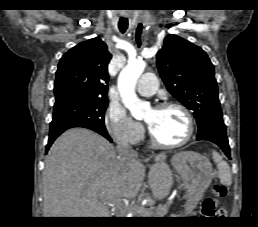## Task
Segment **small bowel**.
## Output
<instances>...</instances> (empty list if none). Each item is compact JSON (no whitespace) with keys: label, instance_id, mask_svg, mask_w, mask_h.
I'll use <instances>...</instances> for the list:
<instances>
[{"label":"small bowel","instance_id":"c3829d8e","mask_svg":"<svg viewBox=\"0 0 258 227\" xmlns=\"http://www.w3.org/2000/svg\"><path fill=\"white\" fill-rule=\"evenodd\" d=\"M202 204L203 207L201 210V215H222L224 213V209L222 208L216 210L214 202L211 199H204Z\"/></svg>","mask_w":258,"mask_h":227}]
</instances>
